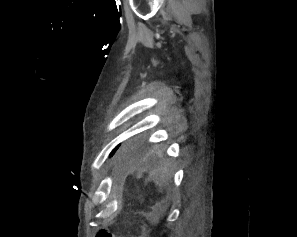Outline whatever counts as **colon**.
<instances>
[{
    "label": "colon",
    "instance_id": "colon-1",
    "mask_svg": "<svg viewBox=\"0 0 297 237\" xmlns=\"http://www.w3.org/2000/svg\"><path fill=\"white\" fill-rule=\"evenodd\" d=\"M96 237H117V236L113 235L110 231L106 229H102V230H99ZM118 237H121V236H118ZM139 237H146V236L141 235Z\"/></svg>",
    "mask_w": 297,
    "mask_h": 237
}]
</instances>
